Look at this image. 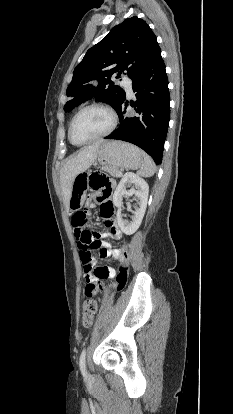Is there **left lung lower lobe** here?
Returning a JSON list of instances; mask_svg holds the SVG:
<instances>
[{"instance_id": "obj_1", "label": "left lung lower lobe", "mask_w": 233, "mask_h": 414, "mask_svg": "<svg viewBox=\"0 0 233 414\" xmlns=\"http://www.w3.org/2000/svg\"><path fill=\"white\" fill-rule=\"evenodd\" d=\"M137 100L131 101L136 115L124 117L128 103L125 98L116 112L120 125L106 139L123 140L147 152L157 165L161 164L164 142L170 119V97L165 64L159 50L150 63L132 78Z\"/></svg>"}]
</instances>
